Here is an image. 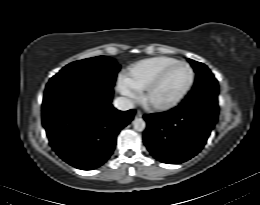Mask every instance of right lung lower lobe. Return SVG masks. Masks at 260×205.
<instances>
[{"label": "right lung lower lobe", "mask_w": 260, "mask_h": 205, "mask_svg": "<svg viewBox=\"0 0 260 205\" xmlns=\"http://www.w3.org/2000/svg\"><path fill=\"white\" fill-rule=\"evenodd\" d=\"M113 84L96 78L50 79L42 104V121L53 150L70 165L91 170L112 154L116 137L135 111L111 105Z\"/></svg>", "instance_id": "98d812e1"}]
</instances>
